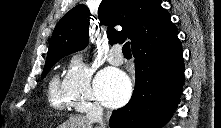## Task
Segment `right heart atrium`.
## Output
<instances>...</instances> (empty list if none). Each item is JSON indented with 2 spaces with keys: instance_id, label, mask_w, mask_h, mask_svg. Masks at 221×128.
<instances>
[{
  "instance_id": "right-heart-atrium-1",
  "label": "right heart atrium",
  "mask_w": 221,
  "mask_h": 128,
  "mask_svg": "<svg viewBox=\"0 0 221 128\" xmlns=\"http://www.w3.org/2000/svg\"><path fill=\"white\" fill-rule=\"evenodd\" d=\"M92 75L93 69L81 55L70 60L64 83L72 98V108L77 112H83L85 107H99L91 89Z\"/></svg>"
}]
</instances>
